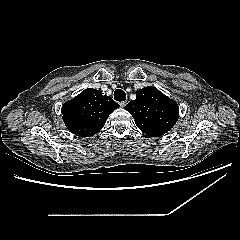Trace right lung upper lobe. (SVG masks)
I'll list each match as a JSON object with an SVG mask.
<instances>
[{
	"mask_svg": "<svg viewBox=\"0 0 240 240\" xmlns=\"http://www.w3.org/2000/svg\"><path fill=\"white\" fill-rule=\"evenodd\" d=\"M111 97L95 89H85L64 103L62 115L66 127L79 137H90L100 131L109 115L119 107Z\"/></svg>",
	"mask_w": 240,
	"mask_h": 240,
	"instance_id": "cb5924a9",
	"label": "right lung upper lobe"
}]
</instances>
